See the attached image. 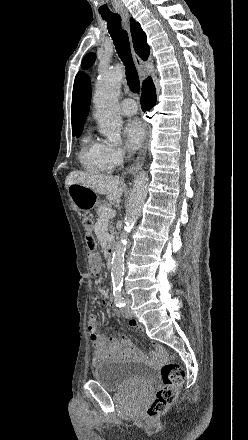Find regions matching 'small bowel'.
<instances>
[{"label":"small bowel","mask_w":248,"mask_h":440,"mask_svg":"<svg viewBox=\"0 0 248 440\" xmlns=\"http://www.w3.org/2000/svg\"><path fill=\"white\" fill-rule=\"evenodd\" d=\"M104 299H107L106 295H103ZM118 314V311H116ZM130 326L137 331L143 333V327L135 320L130 321ZM88 333L92 344V364L93 366L99 365L103 361L117 360L127 356H133L140 358V353L132 344L131 340L125 336H122L120 340L113 337H107L97 326V318L91 315L88 319ZM149 345H153L155 349V358L162 359L165 356L164 349L154 342L149 340Z\"/></svg>","instance_id":"small-bowel-1"}]
</instances>
